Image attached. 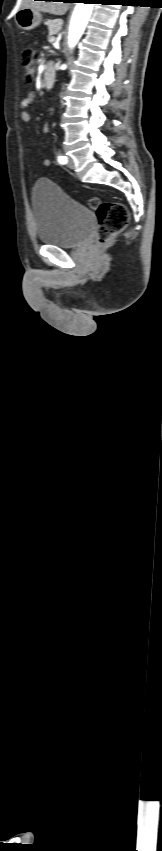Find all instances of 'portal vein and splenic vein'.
<instances>
[{
  "instance_id": "1",
  "label": "portal vein and splenic vein",
  "mask_w": 162,
  "mask_h": 851,
  "mask_svg": "<svg viewBox=\"0 0 162 851\" xmlns=\"http://www.w3.org/2000/svg\"><path fill=\"white\" fill-rule=\"evenodd\" d=\"M49 42H51V43L55 42V37H51Z\"/></svg>"
}]
</instances>
